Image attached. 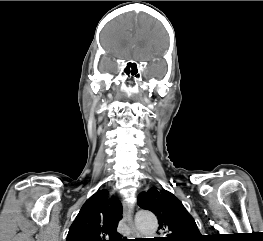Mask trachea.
Wrapping results in <instances>:
<instances>
[{
    "label": "trachea",
    "mask_w": 263,
    "mask_h": 241,
    "mask_svg": "<svg viewBox=\"0 0 263 241\" xmlns=\"http://www.w3.org/2000/svg\"><path fill=\"white\" fill-rule=\"evenodd\" d=\"M126 241H139V240H136V239H129V240H126Z\"/></svg>",
    "instance_id": "1"
}]
</instances>
